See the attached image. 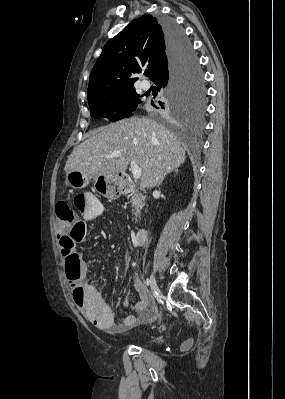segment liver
I'll use <instances>...</instances> for the list:
<instances>
[{
  "label": "liver",
  "mask_w": 285,
  "mask_h": 399,
  "mask_svg": "<svg viewBox=\"0 0 285 399\" xmlns=\"http://www.w3.org/2000/svg\"><path fill=\"white\" fill-rule=\"evenodd\" d=\"M120 151L118 158H106ZM182 143L166 127L152 119L131 117L97 130L74 148L64 170L80 171L88 177L116 176L131 161L142 169L143 188L159 186L170 170L185 162Z\"/></svg>",
  "instance_id": "liver-1"
}]
</instances>
